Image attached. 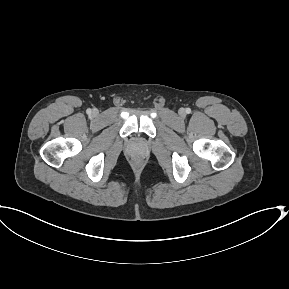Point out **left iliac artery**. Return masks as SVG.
<instances>
[{
    "mask_svg": "<svg viewBox=\"0 0 289 289\" xmlns=\"http://www.w3.org/2000/svg\"><path fill=\"white\" fill-rule=\"evenodd\" d=\"M186 113H187V114L191 113V109H190V108H187V109H186Z\"/></svg>",
    "mask_w": 289,
    "mask_h": 289,
    "instance_id": "obj_1",
    "label": "left iliac artery"
}]
</instances>
